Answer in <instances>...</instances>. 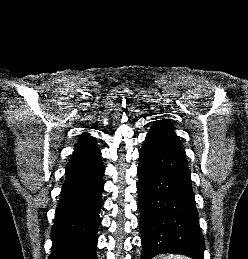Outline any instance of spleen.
<instances>
[{
  "label": "spleen",
  "instance_id": "1",
  "mask_svg": "<svg viewBox=\"0 0 248 259\" xmlns=\"http://www.w3.org/2000/svg\"><path fill=\"white\" fill-rule=\"evenodd\" d=\"M162 259H192V258L181 256V255L169 254V255L163 256Z\"/></svg>",
  "mask_w": 248,
  "mask_h": 259
}]
</instances>
